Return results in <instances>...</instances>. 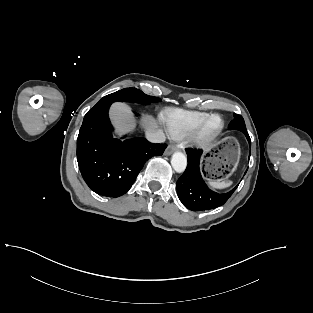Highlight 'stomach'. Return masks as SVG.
Listing matches in <instances>:
<instances>
[{"instance_id":"stomach-1","label":"stomach","mask_w":313,"mask_h":313,"mask_svg":"<svg viewBox=\"0 0 313 313\" xmlns=\"http://www.w3.org/2000/svg\"><path fill=\"white\" fill-rule=\"evenodd\" d=\"M239 158L238 141L233 137H226L203 154L204 171L213 180H225L236 169Z\"/></svg>"}]
</instances>
